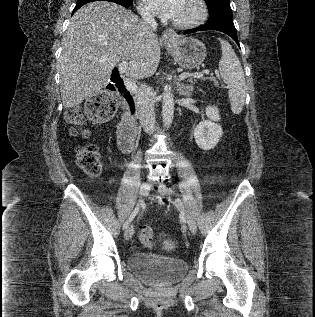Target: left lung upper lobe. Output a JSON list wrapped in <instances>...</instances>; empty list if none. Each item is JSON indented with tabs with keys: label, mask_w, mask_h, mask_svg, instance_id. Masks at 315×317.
<instances>
[{
	"label": "left lung upper lobe",
	"mask_w": 315,
	"mask_h": 317,
	"mask_svg": "<svg viewBox=\"0 0 315 317\" xmlns=\"http://www.w3.org/2000/svg\"><path fill=\"white\" fill-rule=\"evenodd\" d=\"M205 2L210 13L209 23L219 24L223 22H233L229 0H205Z\"/></svg>",
	"instance_id": "obj_1"
}]
</instances>
